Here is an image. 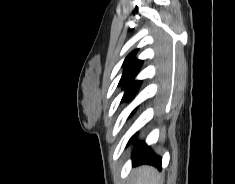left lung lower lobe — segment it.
<instances>
[{
	"instance_id": "0a47b994",
	"label": "left lung lower lobe",
	"mask_w": 235,
	"mask_h": 184,
	"mask_svg": "<svg viewBox=\"0 0 235 184\" xmlns=\"http://www.w3.org/2000/svg\"><path fill=\"white\" fill-rule=\"evenodd\" d=\"M134 140V137L129 141V143ZM133 165L139 164H150L157 167L159 170L162 168V159L160 156L156 155L149 146L144 142H138L132 153Z\"/></svg>"
}]
</instances>
